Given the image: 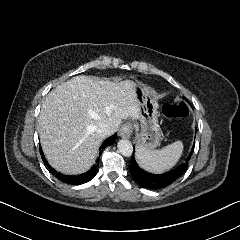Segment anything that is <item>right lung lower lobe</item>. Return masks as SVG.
<instances>
[{
  "label": "right lung lower lobe",
  "mask_w": 240,
  "mask_h": 240,
  "mask_svg": "<svg viewBox=\"0 0 240 240\" xmlns=\"http://www.w3.org/2000/svg\"><path fill=\"white\" fill-rule=\"evenodd\" d=\"M115 139H116V134L107 138L100 147V149H101L100 154L105 147H107L109 145H112L115 142ZM40 154H41V157H42L43 161L46 163L49 171L54 175V177H56L58 180H60L64 183H67V184L79 185V184L86 183V182L90 181L91 179H93L95 177V175L97 174V171H98L99 160L97 159L96 165H94L86 173H83V174L78 175V176L64 175L60 172H57L55 169H53L49 165L46 158L44 157V154H43V151H42L41 147H40Z\"/></svg>",
  "instance_id": "right-lung-lower-lobe-1"
}]
</instances>
